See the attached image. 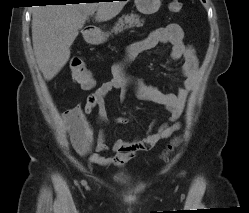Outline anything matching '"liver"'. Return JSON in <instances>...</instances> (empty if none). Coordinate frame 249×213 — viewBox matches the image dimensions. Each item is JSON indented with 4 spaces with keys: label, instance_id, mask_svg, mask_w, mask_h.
<instances>
[{
    "label": "liver",
    "instance_id": "6515ba94",
    "mask_svg": "<svg viewBox=\"0 0 249 213\" xmlns=\"http://www.w3.org/2000/svg\"><path fill=\"white\" fill-rule=\"evenodd\" d=\"M125 1L35 6L32 14L34 54L45 80H52L70 58V47L87 17L108 21L119 14Z\"/></svg>",
    "mask_w": 249,
    "mask_h": 213
}]
</instances>
